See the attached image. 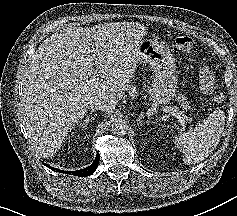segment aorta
<instances>
[{
	"mask_svg": "<svg viewBox=\"0 0 237 216\" xmlns=\"http://www.w3.org/2000/svg\"><path fill=\"white\" fill-rule=\"evenodd\" d=\"M128 129L127 122L122 117L114 118L112 122V131L116 135H125Z\"/></svg>",
	"mask_w": 237,
	"mask_h": 216,
	"instance_id": "obj_1",
	"label": "aorta"
}]
</instances>
